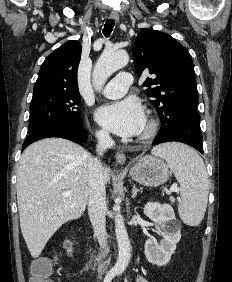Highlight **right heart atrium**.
Returning <instances> with one entry per match:
<instances>
[{"label": "right heart atrium", "instance_id": "obj_1", "mask_svg": "<svg viewBox=\"0 0 232 282\" xmlns=\"http://www.w3.org/2000/svg\"><path fill=\"white\" fill-rule=\"evenodd\" d=\"M96 136L100 142L107 143L109 141V135L105 130H98Z\"/></svg>", "mask_w": 232, "mask_h": 282}]
</instances>
